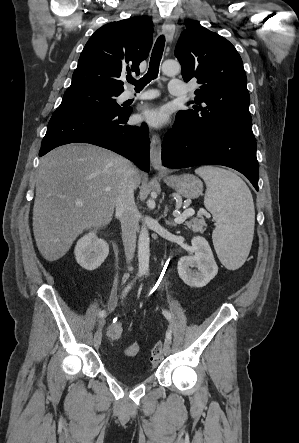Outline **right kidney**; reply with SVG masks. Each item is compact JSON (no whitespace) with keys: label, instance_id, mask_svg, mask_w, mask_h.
Returning <instances> with one entry per match:
<instances>
[{"label":"right kidney","instance_id":"right-kidney-1","mask_svg":"<svg viewBox=\"0 0 299 443\" xmlns=\"http://www.w3.org/2000/svg\"><path fill=\"white\" fill-rule=\"evenodd\" d=\"M77 263L84 269H97L109 254V245L96 235V231L85 234L77 241L74 250Z\"/></svg>","mask_w":299,"mask_h":443}]
</instances>
